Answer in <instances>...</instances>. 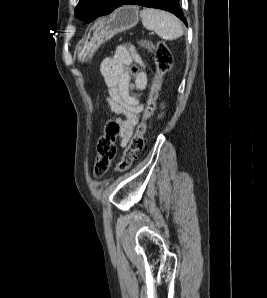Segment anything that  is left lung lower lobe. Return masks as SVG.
I'll use <instances>...</instances> for the list:
<instances>
[{"instance_id":"0a47b994","label":"left lung lower lobe","mask_w":267,"mask_h":298,"mask_svg":"<svg viewBox=\"0 0 267 298\" xmlns=\"http://www.w3.org/2000/svg\"><path fill=\"white\" fill-rule=\"evenodd\" d=\"M124 4H135V5L145 6V7L167 10V11L175 14L178 18H180L182 21H184L185 24H187L185 21V18L183 17L181 8L179 6V0H116L115 3L109 9V11H107L104 14H101L99 16L109 14L114 9H116ZM91 21H93V20H91Z\"/></svg>"}]
</instances>
